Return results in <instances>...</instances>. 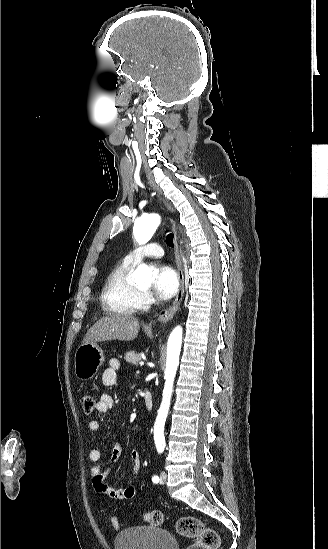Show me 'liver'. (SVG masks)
I'll list each match as a JSON object with an SVG mask.
<instances>
[{
  "instance_id": "obj_1",
  "label": "liver",
  "mask_w": 328,
  "mask_h": 549,
  "mask_svg": "<svg viewBox=\"0 0 328 549\" xmlns=\"http://www.w3.org/2000/svg\"><path fill=\"white\" fill-rule=\"evenodd\" d=\"M140 331L138 319L132 315H107L94 323L87 331L83 343H100V341H133Z\"/></svg>"
}]
</instances>
